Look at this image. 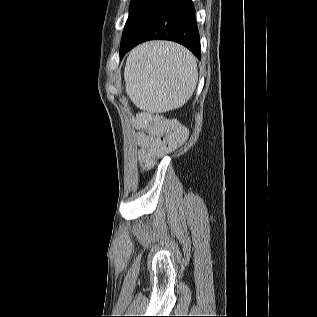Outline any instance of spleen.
<instances>
[{"instance_id": "spleen-1", "label": "spleen", "mask_w": 317, "mask_h": 317, "mask_svg": "<svg viewBox=\"0 0 317 317\" xmlns=\"http://www.w3.org/2000/svg\"><path fill=\"white\" fill-rule=\"evenodd\" d=\"M126 93L140 109L153 113L183 106L198 80L194 56L164 41L142 44L129 54L124 71Z\"/></svg>"}]
</instances>
